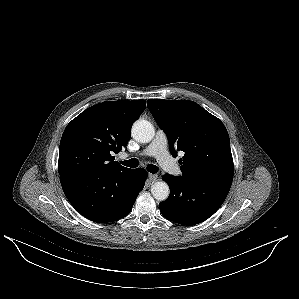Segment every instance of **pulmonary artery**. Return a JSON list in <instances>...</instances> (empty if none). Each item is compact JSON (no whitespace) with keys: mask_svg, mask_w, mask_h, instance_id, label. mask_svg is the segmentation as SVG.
<instances>
[{"mask_svg":"<svg viewBox=\"0 0 299 299\" xmlns=\"http://www.w3.org/2000/svg\"><path fill=\"white\" fill-rule=\"evenodd\" d=\"M137 156H154L161 167L171 174H179L180 167L168 153V140L162 130H157L153 140ZM127 156V155H126Z\"/></svg>","mask_w":299,"mask_h":299,"instance_id":"obj_1","label":"pulmonary artery"}]
</instances>
